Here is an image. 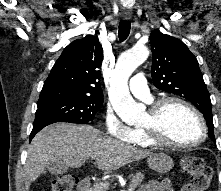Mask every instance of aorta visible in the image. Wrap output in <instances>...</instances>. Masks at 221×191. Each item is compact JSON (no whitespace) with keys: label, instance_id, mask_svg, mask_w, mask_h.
I'll list each match as a JSON object with an SVG mask.
<instances>
[{"label":"aorta","instance_id":"obj_1","mask_svg":"<svg viewBox=\"0 0 221 191\" xmlns=\"http://www.w3.org/2000/svg\"><path fill=\"white\" fill-rule=\"evenodd\" d=\"M149 56L146 46H135L124 52L117 60L111 78L109 98L116 113L129 124L135 123L143 114L144 108L134 101L128 88V79L134 70Z\"/></svg>","mask_w":221,"mask_h":191}]
</instances>
